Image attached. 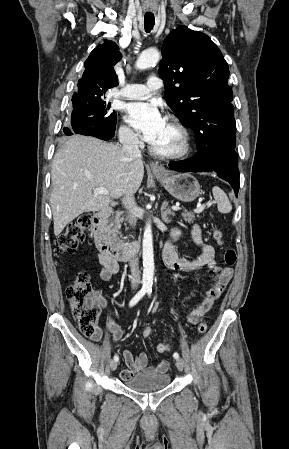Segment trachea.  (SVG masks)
<instances>
[{
  "label": "trachea",
  "instance_id": "obj_1",
  "mask_svg": "<svg viewBox=\"0 0 289 449\" xmlns=\"http://www.w3.org/2000/svg\"><path fill=\"white\" fill-rule=\"evenodd\" d=\"M155 24V17L152 13H146L144 16V28L147 33H149Z\"/></svg>",
  "mask_w": 289,
  "mask_h": 449
}]
</instances>
